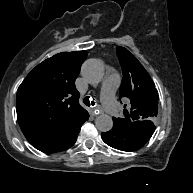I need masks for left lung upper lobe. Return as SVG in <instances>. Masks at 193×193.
<instances>
[{"instance_id":"1","label":"left lung upper lobe","mask_w":193,"mask_h":193,"mask_svg":"<svg viewBox=\"0 0 193 193\" xmlns=\"http://www.w3.org/2000/svg\"><path fill=\"white\" fill-rule=\"evenodd\" d=\"M117 55L123 71L120 96L128 98L130 105L124 110L123 118H113V122L126 125L153 123L158 114V92L148 72L137 58L122 47Z\"/></svg>"}]
</instances>
